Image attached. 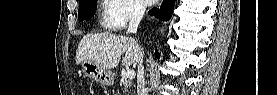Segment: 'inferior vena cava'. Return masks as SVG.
I'll return each mask as SVG.
<instances>
[{
	"mask_svg": "<svg viewBox=\"0 0 277 95\" xmlns=\"http://www.w3.org/2000/svg\"><path fill=\"white\" fill-rule=\"evenodd\" d=\"M145 13V6L142 4H136L133 6L132 9V16L130 18V22H129V26H128V30L127 33H133L136 34L137 32V28L139 26L140 21L143 18V15ZM134 44H135V48L138 52L139 55V61H138V73H137V95H147V90L145 88V73H144V66H143V51L141 49V47L139 46V44L132 39Z\"/></svg>",
	"mask_w": 277,
	"mask_h": 95,
	"instance_id": "inferior-vena-cava-1",
	"label": "inferior vena cava"
}]
</instances>
